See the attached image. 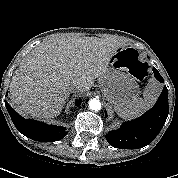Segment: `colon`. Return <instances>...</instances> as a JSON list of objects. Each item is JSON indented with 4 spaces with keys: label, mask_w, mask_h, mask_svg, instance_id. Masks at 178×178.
I'll list each match as a JSON object with an SVG mask.
<instances>
[{
    "label": "colon",
    "mask_w": 178,
    "mask_h": 178,
    "mask_svg": "<svg viewBox=\"0 0 178 178\" xmlns=\"http://www.w3.org/2000/svg\"><path fill=\"white\" fill-rule=\"evenodd\" d=\"M131 72L137 79H143L148 76V66L145 63H138L132 67Z\"/></svg>",
    "instance_id": "colon-1"
}]
</instances>
